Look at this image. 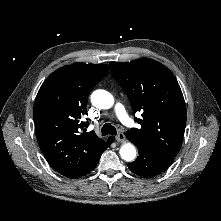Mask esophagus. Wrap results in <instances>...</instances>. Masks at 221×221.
Wrapping results in <instances>:
<instances>
[{"label": "esophagus", "mask_w": 221, "mask_h": 221, "mask_svg": "<svg viewBox=\"0 0 221 221\" xmlns=\"http://www.w3.org/2000/svg\"><path fill=\"white\" fill-rule=\"evenodd\" d=\"M115 139L116 141L118 142H123L125 140V135L123 133H118L116 136H115Z\"/></svg>", "instance_id": "1"}]
</instances>
